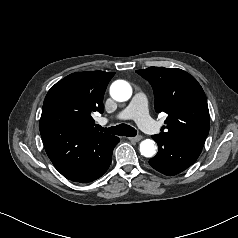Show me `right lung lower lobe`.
Wrapping results in <instances>:
<instances>
[{"label": "right lung lower lobe", "instance_id": "1", "mask_svg": "<svg viewBox=\"0 0 238 238\" xmlns=\"http://www.w3.org/2000/svg\"><path fill=\"white\" fill-rule=\"evenodd\" d=\"M119 141L120 139L118 137L111 138V140L99 150L91 164L64 176L71 181L80 183L91 182L101 177L109 168L113 149Z\"/></svg>", "mask_w": 238, "mask_h": 238}]
</instances>
